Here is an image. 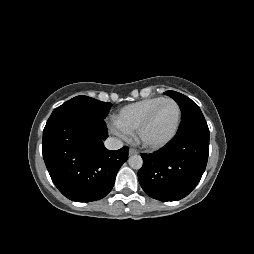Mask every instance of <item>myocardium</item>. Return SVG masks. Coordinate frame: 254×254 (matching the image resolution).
Segmentation results:
<instances>
[{
	"instance_id": "obj_1",
	"label": "myocardium",
	"mask_w": 254,
	"mask_h": 254,
	"mask_svg": "<svg viewBox=\"0 0 254 254\" xmlns=\"http://www.w3.org/2000/svg\"><path fill=\"white\" fill-rule=\"evenodd\" d=\"M166 102H171V103L175 104L177 107L178 116H177V121H176L175 127H174L173 131L170 133V135L168 137H166L164 140H162L160 142H156V143L149 142L144 138V132H145L146 128L149 126V124L152 122V120H153L155 114L157 113V111L159 110V108ZM181 120H182V109H181L180 104L172 98H165L162 101H160L156 106H154L152 108V110L147 114V116L139 124V126L136 130L137 131V138L140 141V143L148 149L157 150V149L163 148L167 144H169L177 135L180 125H181Z\"/></svg>"
}]
</instances>
